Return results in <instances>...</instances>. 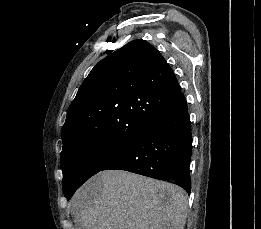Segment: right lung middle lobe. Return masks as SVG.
I'll return each mask as SVG.
<instances>
[{
  "mask_svg": "<svg viewBox=\"0 0 261 229\" xmlns=\"http://www.w3.org/2000/svg\"><path fill=\"white\" fill-rule=\"evenodd\" d=\"M131 142L81 139L62 148L63 192L67 198L91 176L113 161Z\"/></svg>",
  "mask_w": 261,
  "mask_h": 229,
  "instance_id": "obj_1",
  "label": "right lung middle lobe"
}]
</instances>
